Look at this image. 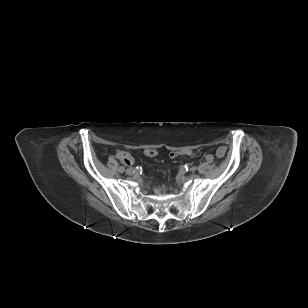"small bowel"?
<instances>
[{"label": "small bowel", "instance_id": "obj_1", "mask_svg": "<svg viewBox=\"0 0 308 308\" xmlns=\"http://www.w3.org/2000/svg\"><path fill=\"white\" fill-rule=\"evenodd\" d=\"M225 153H226V149H225L224 147H220V148L217 150V155H218L219 157L224 156Z\"/></svg>", "mask_w": 308, "mask_h": 308}]
</instances>
